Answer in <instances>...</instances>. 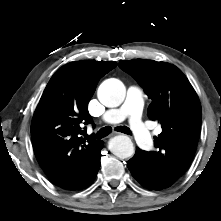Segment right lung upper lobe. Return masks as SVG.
<instances>
[{
	"label": "right lung upper lobe",
	"instance_id": "obj_1",
	"mask_svg": "<svg viewBox=\"0 0 221 221\" xmlns=\"http://www.w3.org/2000/svg\"><path fill=\"white\" fill-rule=\"evenodd\" d=\"M116 62L84 60L62 66L47 84L36 108L31 136L36 158L48 178L73 190L91 169L103 141L82 138L92 123L87 105L101 77Z\"/></svg>",
	"mask_w": 221,
	"mask_h": 221
}]
</instances>
